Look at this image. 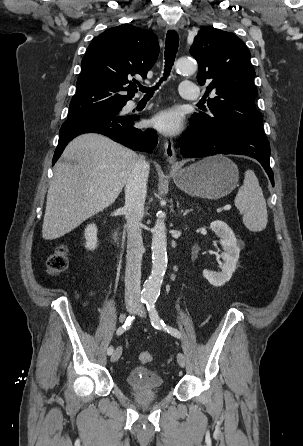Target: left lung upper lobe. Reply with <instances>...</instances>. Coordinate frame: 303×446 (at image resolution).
Segmentation results:
<instances>
[{
  "label": "left lung upper lobe",
  "mask_w": 303,
  "mask_h": 446,
  "mask_svg": "<svg viewBox=\"0 0 303 446\" xmlns=\"http://www.w3.org/2000/svg\"><path fill=\"white\" fill-rule=\"evenodd\" d=\"M190 53L199 64L198 83L208 84L207 106L212 112L193 113L190 122L266 138L262 114L255 107V71L244 42L233 33L204 27Z\"/></svg>",
  "instance_id": "left-lung-upper-lobe-1"
}]
</instances>
